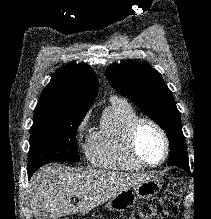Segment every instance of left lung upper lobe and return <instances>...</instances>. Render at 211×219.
Listing matches in <instances>:
<instances>
[{
    "mask_svg": "<svg viewBox=\"0 0 211 219\" xmlns=\"http://www.w3.org/2000/svg\"><path fill=\"white\" fill-rule=\"evenodd\" d=\"M106 77L118 93L131 99L166 132L170 152L188 160L180 113L159 72L139 62L128 61L109 67Z\"/></svg>",
    "mask_w": 211,
    "mask_h": 219,
    "instance_id": "obj_1",
    "label": "left lung upper lobe"
}]
</instances>
